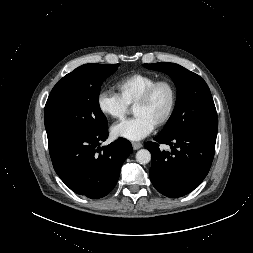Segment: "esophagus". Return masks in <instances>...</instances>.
I'll return each mask as SVG.
<instances>
[{"label":"esophagus","mask_w":253,"mask_h":253,"mask_svg":"<svg viewBox=\"0 0 253 253\" xmlns=\"http://www.w3.org/2000/svg\"><path fill=\"white\" fill-rule=\"evenodd\" d=\"M132 147L134 150H138L142 147V143H139V142H133L132 143Z\"/></svg>","instance_id":"obj_1"}]
</instances>
